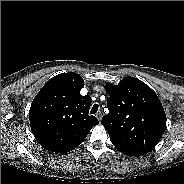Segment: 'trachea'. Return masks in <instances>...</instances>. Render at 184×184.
Listing matches in <instances>:
<instances>
[{
  "label": "trachea",
  "instance_id": "obj_1",
  "mask_svg": "<svg viewBox=\"0 0 184 184\" xmlns=\"http://www.w3.org/2000/svg\"><path fill=\"white\" fill-rule=\"evenodd\" d=\"M98 104H94L91 108L90 114H95L98 111Z\"/></svg>",
  "mask_w": 184,
  "mask_h": 184
}]
</instances>
